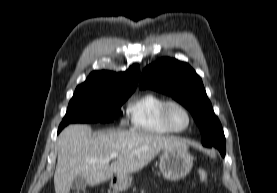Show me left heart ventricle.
Listing matches in <instances>:
<instances>
[{"instance_id": "1", "label": "left heart ventricle", "mask_w": 277, "mask_h": 193, "mask_svg": "<svg viewBox=\"0 0 277 193\" xmlns=\"http://www.w3.org/2000/svg\"><path fill=\"white\" fill-rule=\"evenodd\" d=\"M169 120L177 129H183L187 126L188 119L185 112L178 106H171L169 109Z\"/></svg>"}]
</instances>
